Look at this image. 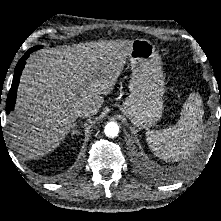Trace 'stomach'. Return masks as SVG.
<instances>
[{"label":"stomach","mask_w":221,"mask_h":221,"mask_svg":"<svg viewBox=\"0 0 221 221\" xmlns=\"http://www.w3.org/2000/svg\"><path fill=\"white\" fill-rule=\"evenodd\" d=\"M131 64L130 95L120 111L139 128L156 123L163 113L165 93L161 57L146 39L132 41L129 52Z\"/></svg>","instance_id":"stomach-1"}]
</instances>
